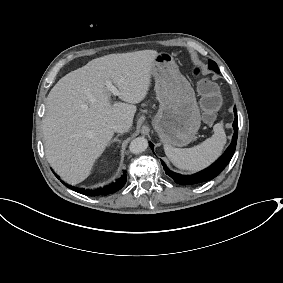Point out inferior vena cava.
<instances>
[{
    "label": "inferior vena cava",
    "instance_id": "inferior-vena-cava-1",
    "mask_svg": "<svg viewBox=\"0 0 283 283\" xmlns=\"http://www.w3.org/2000/svg\"><path fill=\"white\" fill-rule=\"evenodd\" d=\"M115 132L122 133L127 132L130 129V126L127 123H119L113 126Z\"/></svg>",
    "mask_w": 283,
    "mask_h": 283
}]
</instances>
